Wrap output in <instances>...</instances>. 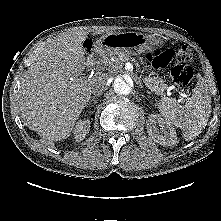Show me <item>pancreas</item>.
<instances>
[{"label": "pancreas", "mask_w": 221, "mask_h": 221, "mask_svg": "<svg viewBox=\"0 0 221 221\" xmlns=\"http://www.w3.org/2000/svg\"><path fill=\"white\" fill-rule=\"evenodd\" d=\"M114 58V61H106V65H108L111 68H114L115 66L118 67L121 64H124L128 61H135V58L131 57L130 54L126 53H118L111 56ZM141 64L142 58H140ZM145 85L151 90L154 91L157 95H164V91L168 88L167 84L164 83L162 79L156 76H147L143 79Z\"/></svg>", "instance_id": "obj_1"}]
</instances>
